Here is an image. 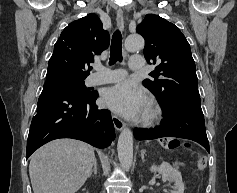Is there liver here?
I'll use <instances>...</instances> for the list:
<instances>
[{
    "label": "liver",
    "instance_id": "1",
    "mask_svg": "<svg viewBox=\"0 0 237 193\" xmlns=\"http://www.w3.org/2000/svg\"><path fill=\"white\" fill-rule=\"evenodd\" d=\"M94 148L73 139H57L36 150L29 175L34 193H75L94 164Z\"/></svg>",
    "mask_w": 237,
    "mask_h": 193
}]
</instances>
